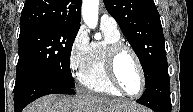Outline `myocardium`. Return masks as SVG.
<instances>
[{"instance_id": "myocardium-1", "label": "myocardium", "mask_w": 193, "mask_h": 112, "mask_svg": "<svg viewBox=\"0 0 193 112\" xmlns=\"http://www.w3.org/2000/svg\"><path fill=\"white\" fill-rule=\"evenodd\" d=\"M123 52H129L136 62V65H137V68H138V71L140 74V79H141V87H140V90L137 94L128 93L124 89L122 84L120 83L119 78L117 76L116 63H117L119 56ZM105 70H106V74H107V77H108L110 83L121 94L128 96V97L135 98V97L140 96L144 92L145 86H146L145 72H144V69H143V66H142V63H141V60H140L138 54L130 45H128L124 42H116V43L110 44L107 47L106 53H105Z\"/></svg>"}]
</instances>
